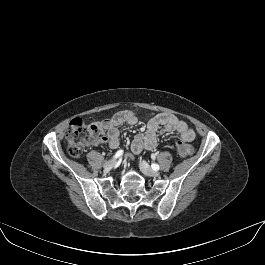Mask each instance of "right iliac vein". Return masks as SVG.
I'll list each match as a JSON object with an SVG mask.
<instances>
[{"instance_id": "obj_1", "label": "right iliac vein", "mask_w": 265, "mask_h": 265, "mask_svg": "<svg viewBox=\"0 0 265 265\" xmlns=\"http://www.w3.org/2000/svg\"><path fill=\"white\" fill-rule=\"evenodd\" d=\"M115 164V159L108 160L104 163L103 167L105 170H110Z\"/></svg>"}]
</instances>
